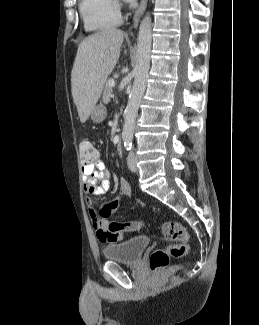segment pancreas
<instances>
[{
    "instance_id": "pancreas-1",
    "label": "pancreas",
    "mask_w": 259,
    "mask_h": 325,
    "mask_svg": "<svg viewBox=\"0 0 259 325\" xmlns=\"http://www.w3.org/2000/svg\"><path fill=\"white\" fill-rule=\"evenodd\" d=\"M110 81H112V79H109L106 81L105 87H104V91H103V96H102V100L105 104L109 103L110 101V97L112 95V87L110 86Z\"/></svg>"
}]
</instances>
